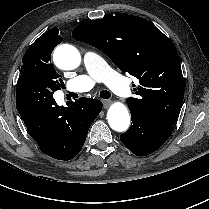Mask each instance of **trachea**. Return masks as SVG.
Returning <instances> with one entry per match:
<instances>
[{
  "label": "trachea",
  "instance_id": "1",
  "mask_svg": "<svg viewBox=\"0 0 209 209\" xmlns=\"http://www.w3.org/2000/svg\"><path fill=\"white\" fill-rule=\"evenodd\" d=\"M111 94L109 91L107 90H102L100 91V97L103 98V99H108L110 98Z\"/></svg>",
  "mask_w": 209,
  "mask_h": 209
}]
</instances>
